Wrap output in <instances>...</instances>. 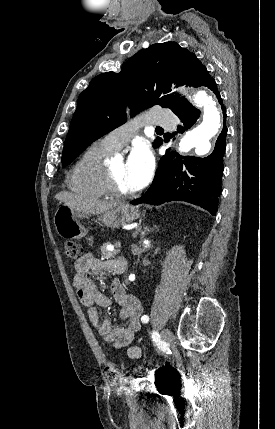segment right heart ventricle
<instances>
[{
	"label": "right heart ventricle",
	"instance_id": "1",
	"mask_svg": "<svg viewBox=\"0 0 275 429\" xmlns=\"http://www.w3.org/2000/svg\"><path fill=\"white\" fill-rule=\"evenodd\" d=\"M113 150L100 141L90 145L71 170L67 184L70 190L92 199L109 196L106 180L105 158Z\"/></svg>",
	"mask_w": 275,
	"mask_h": 429
}]
</instances>
